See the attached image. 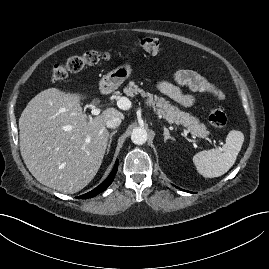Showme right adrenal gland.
Returning a JSON list of instances; mask_svg holds the SVG:
<instances>
[{
	"mask_svg": "<svg viewBox=\"0 0 269 269\" xmlns=\"http://www.w3.org/2000/svg\"><path fill=\"white\" fill-rule=\"evenodd\" d=\"M117 132V130H114L113 132L110 133V136H109V142H108V146H107V154L109 153L110 151V147H111V143H112V137L113 135Z\"/></svg>",
	"mask_w": 269,
	"mask_h": 269,
	"instance_id": "obj_1",
	"label": "right adrenal gland"
}]
</instances>
